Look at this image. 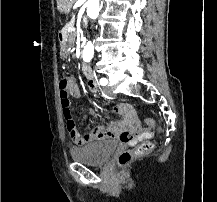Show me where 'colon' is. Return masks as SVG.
I'll list each match as a JSON object with an SVG mask.
<instances>
[{"mask_svg":"<svg viewBox=\"0 0 217 202\" xmlns=\"http://www.w3.org/2000/svg\"><path fill=\"white\" fill-rule=\"evenodd\" d=\"M72 83L68 79H63L60 82V102L63 111V117L65 121V126L67 131H76L75 123L71 111V98H70V88ZM145 126H152L153 118H144ZM161 128V125H158ZM162 133V130H159ZM152 148V143L150 138H145L144 143H140L134 150H126L120 154L118 157V163L120 165H125L130 162L134 157H141L150 152Z\"/></svg>","mask_w":217,"mask_h":202,"instance_id":"1","label":"colon"}]
</instances>
